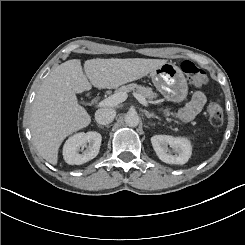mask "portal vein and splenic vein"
I'll return each mask as SVG.
<instances>
[{"label":"portal vein and splenic vein","mask_w":245,"mask_h":245,"mask_svg":"<svg viewBox=\"0 0 245 245\" xmlns=\"http://www.w3.org/2000/svg\"><path fill=\"white\" fill-rule=\"evenodd\" d=\"M134 97L144 106L148 105L147 100L140 94L134 93ZM127 99L126 93H115L99 102V107H114Z\"/></svg>","instance_id":"obj_1"}]
</instances>
